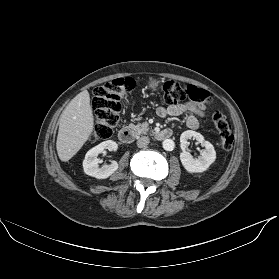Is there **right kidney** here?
I'll use <instances>...</instances> for the list:
<instances>
[{
  "instance_id": "1",
  "label": "right kidney",
  "mask_w": 279,
  "mask_h": 279,
  "mask_svg": "<svg viewBox=\"0 0 279 279\" xmlns=\"http://www.w3.org/2000/svg\"><path fill=\"white\" fill-rule=\"evenodd\" d=\"M117 147L118 145L116 142L107 140L90 149L86 153L83 161L84 173L97 179H106L112 175L118 169V163L116 161H112L109 165L99 167L100 161L97 157L105 149L115 151L117 150Z\"/></svg>"
}]
</instances>
